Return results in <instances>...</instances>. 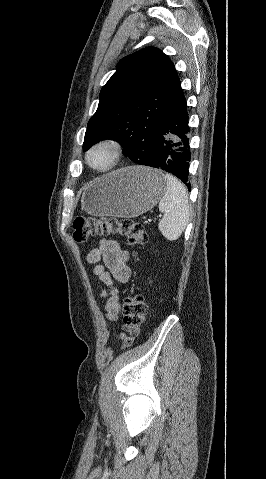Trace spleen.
Returning a JSON list of instances; mask_svg holds the SVG:
<instances>
[{
  "label": "spleen",
  "mask_w": 266,
  "mask_h": 479,
  "mask_svg": "<svg viewBox=\"0 0 266 479\" xmlns=\"http://www.w3.org/2000/svg\"><path fill=\"white\" fill-rule=\"evenodd\" d=\"M166 188L159 202V210L164 216L158 229L169 241L177 240L185 230L189 217V197L185 186L173 175L166 174Z\"/></svg>",
  "instance_id": "3e777b00"
}]
</instances>
